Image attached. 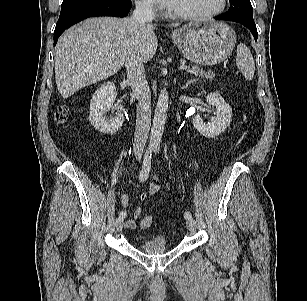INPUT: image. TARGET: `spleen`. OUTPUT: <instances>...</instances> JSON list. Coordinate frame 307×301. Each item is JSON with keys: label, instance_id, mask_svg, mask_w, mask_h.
<instances>
[{"label": "spleen", "instance_id": "obj_1", "mask_svg": "<svg viewBox=\"0 0 307 301\" xmlns=\"http://www.w3.org/2000/svg\"><path fill=\"white\" fill-rule=\"evenodd\" d=\"M236 65L246 80L250 81L253 79L255 73V63L251 51L244 43H240L237 46Z\"/></svg>", "mask_w": 307, "mask_h": 301}]
</instances>
